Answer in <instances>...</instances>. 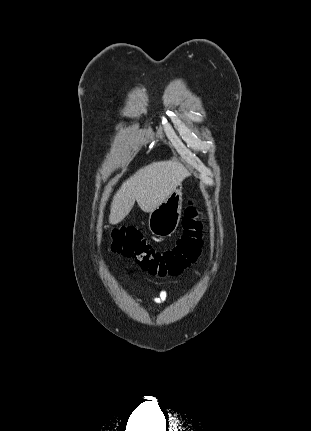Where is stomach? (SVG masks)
I'll return each mask as SVG.
<instances>
[{
  "label": "stomach",
  "instance_id": "stomach-1",
  "mask_svg": "<svg viewBox=\"0 0 311 431\" xmlns=\"http://www.w3.org/2000/svg\"><path fill=\"white\" fill-rule=\"evenodd\" d=\"M182 188L174 190L156 210L149 212L148 227L153 235L168 237L176 231L182 214Z\"/></svg>",
  "mask_w": 311,
  "mask_h": 431
}]
</instances>
